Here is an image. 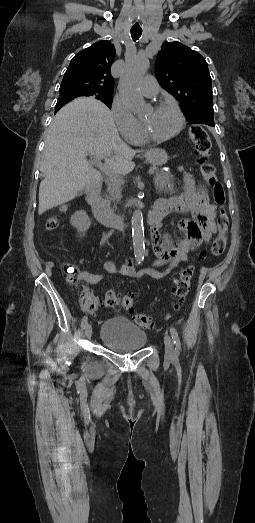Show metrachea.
I'll return each mask as SVG.
<instances>
[{"mask_svg":"<svg viewBox=\"0 0 255 523\" xmlns=\"http://www.w3.org/2000/svg\"><path fill=\"white\" fill-rule=\"evenodd\" d=\"M141 35H142V28H138V27L131 28V37L134 40V42H136V40H138L141 37Z\"/></svg>","mask_w":255,"mask_h":523,"instance_id":"trachea-1","label":"trachea"}]
</instances>
